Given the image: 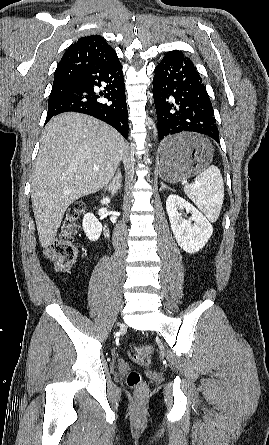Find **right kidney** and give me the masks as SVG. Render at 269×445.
Listing matches in <instances>:
<instances>
[{"label":"right kidney","mask_w":269,"mask_h":445,"mask_svg":"<svg viewBox=\"0 0 269 445\" xmlns=\"http://www.w3.org/2000/svg\"><path fill=\"white\" fill-rule=\"evenodd\" d=\"M103 204H109L110 199L108 197L103 198L101 201ZM83 230L90 241H97L102 232V224L92 213L84 215L82 222Z\"/></svg>","instance_id":"obj_1"}]
</instances>
